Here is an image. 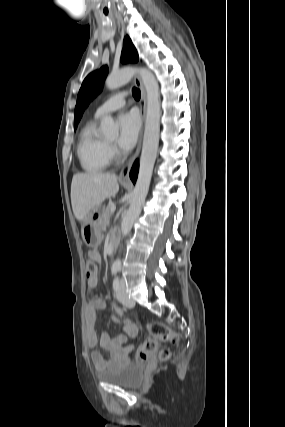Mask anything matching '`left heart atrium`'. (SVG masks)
Segmentation results:
<instances>
[{
	"label": "left heart atrium",
	"instance_id": "39dd6f15",
	"mask_svg": "<svg viewBox=\"0 0 285 427\" xmlns=\"http://www.w3.org/2000/svg\"><path fill=\"white\" fill-rule=\"evenodd\" d=\"M118 123V145L125 150L132 148L136 143L140 129V121L138 116L134 112L123 113L120 115Z\"/></svg>",
	"mask_w": 285,
	"mask_h": 427
}]
</instances>
